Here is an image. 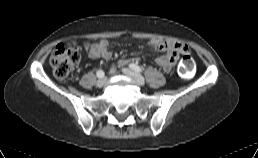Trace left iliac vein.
Returning a JSON list of instances; mask_svg holds the SVG:
<instances>
[{
  "mask_svg": "<svg viewBox=\"0 0 258 158\" xmlns=\"http://www.w3.org/2000/svg\"><path fill=\"white\" fill-rule=\"evenodd\" d=\"M122 71H123V73L125 75H127V76L131 77L132 79H134L135 82L139 86H144L145 85V80H144V78L140 74H138V73H136V72H134V71H132V70H130L128 68H124Z\"/></svg>",
  "mask_w": 258,
  "mask_h": 158,
  "instance_id": "1",
  "label": "left iliac vein"
}]
</instances>
